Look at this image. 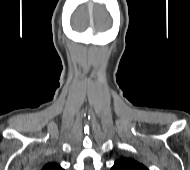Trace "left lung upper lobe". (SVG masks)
I'll use <instances>...</instances> for the list:
<instances>
[{"mask_svg": "<svg viewBox=\"0 0 190 170\" xmlns=\"http://www.w3.org/2000/svg\"><path fill=\"white\" fill-rule=\"evenodd\" d=\"M111 170H148L143 164L132 158H118Z\"/></svg>", "mask_w": 190, "mask_h": 170, "instance_id": "5c2ea615", "label": "left lung upper lobe"}]
</instances>
